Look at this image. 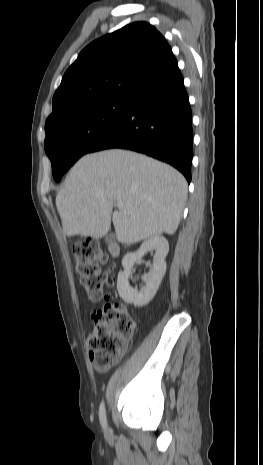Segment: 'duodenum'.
Returning <instances> with one entry per match:
<instances>
[{
  "label": "duodenum",
  "instance_id": "obj_1",
  "mask_svg": "<svg viewBox=\"0 0 263 465\" xmlns=\"http://www.w3.org/2000/svg\"><path fill=\"white\" fill-rule=\"evenodd\" d=\"M110 252L113 256H117L119 254V248L116 244L110 245Z\"/></svg>",
  "mask_w": 263,
  "mask_h": 465
}]
</instances>
